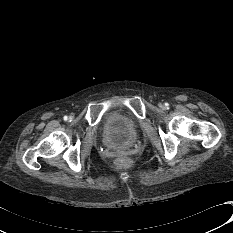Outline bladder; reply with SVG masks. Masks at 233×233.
Returning a JSON list of instances; mask_svg holds the SVG:
<instances>
[{"mask_svg":"<svg viewBox=\"0 0 233 233\" xmlns=\"http://www.w3.org/2000/svg\"><path fill=\"white\" fill-rule=\"evenodd\" d=\"M100 131L107 145L125 150L133 144L137 136L138 123L123 112L112 111L102 120Z\"/></svg>","mask_w":233,"mask_h":233,"instance_id":"obj_1","label":"bladder"}]
</instances>
